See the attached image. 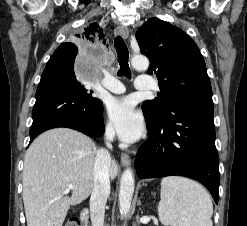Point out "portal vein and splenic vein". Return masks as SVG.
Segmentation results:
<instances>
[{"instance_id": "1", "label": "portal vein and splenic vein", "mask_w": 247, "mask_h": 226, "mask_svg": "<svg viewBox=\"0 0 247 226\" xmlns=\"http://www.w3.org/2000/svg\"><path fill=\"white\" fill-rule=\"evenodd\" d=\"M72 189H73V185H68L67 189L65 190V193H68Z\"/></svg>"}]
</instances>
